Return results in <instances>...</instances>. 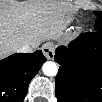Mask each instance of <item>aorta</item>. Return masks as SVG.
<instances>
[{
  "instance_id": "1",
  "label": "aorta",
  "mask_w": 102,
  "mask_h": 102,
  "mask_svg": "<svg viewBox=\"0 0 102 102\" xmlns=\"http://www.w3.org/2000/svg\"><path fill=\"white\" fill-rule=\"evenodd\" d=\"M42 71L46 76H55L58 72V66L55 62L47 61L43 64Z\"/></svg>"
}]
</instances>
